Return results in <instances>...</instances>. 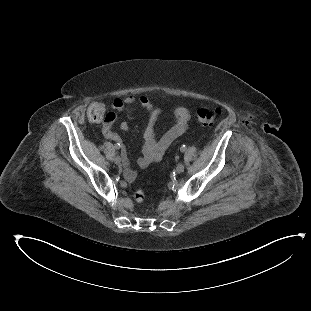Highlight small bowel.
Segmentation results:
<instances>
[{"instance_id": "c3829d8e", "label": "small bowel", "mask_w": 311, "mask_h": 311, "mask_svg": "<svg viewBox=\"0 0 311 311\" xmlns=\"http://www.w3.org/2000/svg\"><path fill=\"white\" fill-rule=\"evenodd\" d=\"M135 102L133 96H127L123 99H114L110 102L111 108L125 113L127 108ZM139 106L148 114V125L144 132V144L142 156L137 159V165L140 168H146L153 162L162 159L166 150L176 138L184 134L188 129L190 113L185 108H177L174 114V124L159 139L156 138V124L163 111V108L155 105L148 97L142 96L138 99ZM129 129V123L124 120L120 124V132H126ZM102 132L105 137L113 140H120V133L114 132L110 125H103Z\"/></svg>"}]
</instances>
